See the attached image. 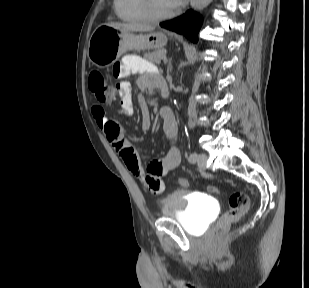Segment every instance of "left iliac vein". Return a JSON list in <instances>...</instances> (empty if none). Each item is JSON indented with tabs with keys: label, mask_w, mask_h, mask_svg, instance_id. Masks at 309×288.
Returning <instances> with one entry per match:
<instances>
[{
	"label": "left iliac vein",
	"mask_w": 309,
	"mask_h": 288,
	"mask_svg": "<svg viewBox=\"0 0 309 288\" xmlns=\"http://www.w3.org/2000/svg\"><path fill=\"white\" fill-rule=\"evenodd\" d=\"M206 161H207V155L202 153L200 154L198 157H197V164H198V167L201 169V170H205L206 169Z\"/></svg>",
	"instance_id": "1"
}]
</instances>
